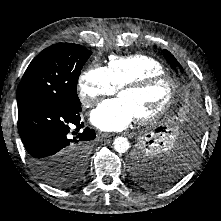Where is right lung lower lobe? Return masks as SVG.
<instances>
[{
    "mask_svg": "<svg viewBox=\"0 0 221 221\" xmlns=\"http://www.w3.org/2000/svg\"><path fill=\"white\" fill-rule=\"evenodd\" d=\"M80 111L81 106L47 101L28 103L18 109L19 134L37 174L49 166L61 165L72 148L96 137L94 130L82 129Z\"/></svg>",
    "mask_w": 221,
    "mask_h": 221,
    "instance_id": "obj_1",
    "label": "right lung lower lobe"
}]
</instances>
